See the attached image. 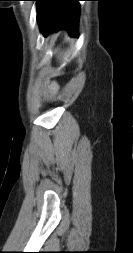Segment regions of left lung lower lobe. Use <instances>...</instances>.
Segmentation results:
<instances>
[{
    "label": "left lung lower lobe",
    "mask_w": 133,
    "mask_h": 253,
    "mask_svg": "<svg viewBox=\"0 0 133 253\" xmlns=\"http://www.w3.org/2000/svg\"><path fill=\"white\" fill-rule=\"evenodd\" d=\"M36 1L37 19L44 36L50 32L66 29L77 37L81 0H26Z\"/></svg>",
    "instance_id": "1"
}]
</instances>
